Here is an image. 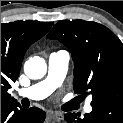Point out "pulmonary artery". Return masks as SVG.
<instances>
[{"label":"pulmonary artery","instance_id":"e3ab8cb5","mask_svg":"<svg viewBox=\"0 0 123 123\" xmlns=\"http://www.w3.org/2000/svg\"><path fill=\"white\" fill-rule=\"evenodd\" d=\"M69 60L70 55L65 50L51 53L48 60L47 76L29 88L19 90L17 95L30 100H41L49 96L62 84L67 73ZM84 110L89 113L92 111V107L86 104Z\"/></svg>","mask_w":123,"mask_h":123}]
</instances>
